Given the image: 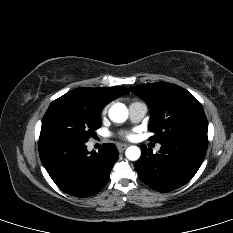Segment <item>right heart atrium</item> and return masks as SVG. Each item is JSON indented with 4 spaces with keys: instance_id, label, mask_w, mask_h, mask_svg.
I'll return each instance as SVG.
<instances>
[{
    "instance_id": "obj_1",
    "label": "right heart atrium",
    "mask_w": 233,
    "mask_h": 233,
    "mask_svg": "<svg viewBox=\"0 0 233 233\" xmlns=\"http://www.w3.org/2000/svg\"><path fill=\"white\" fill-rule=\"evenodd\" d=\"M107 112V107H105L102 111V113H106Z\"/></svg>"
}]
</instances>
